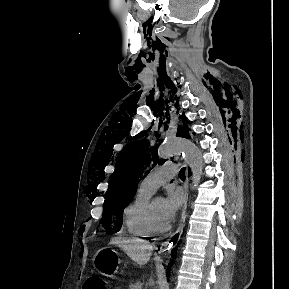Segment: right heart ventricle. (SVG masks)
I'll list each match as a JSON object with an SVG mask.
<instances>
[{"instance_id": "obj_1", "label": "right heart ventricle", "mask_w": 289, "mask_h": 289, "mask_svg": "<svg viewBox=\"0 0 289 289\" xmlns=\"http://www.w3.org/2000/svg\"><path fill=\"white\" fill-rule=\"evenodd\" d=\"M151 194L138 189L132 202L124 211L126 229L135 237H152L155 234L147 216V206Z\"/></svg>"}]
</instances>
